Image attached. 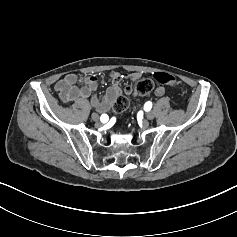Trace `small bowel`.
Returning a JSON list of instances; mask_svg holds the SVG:
<instances>
[{
    "mask_svg": "<svg viewBox=\"0 0 237 237\" xmlns=\"http://www.w3.org/2000/svg\"><path fill=\"white\" fill-rule=\"evenodd\" d=\"M140 76V73L122 75L118 72H112L110 74L112 85L106 90L103 98L97 95L99 80L96 76L85 77L82 85L78 86L77 76L75 74H67L55 84V90L64 104L82 103L89 99V104L95 108L97 113L103 115L111 109L115 99L120 95L121 81L124 78L135 81ZM155 94L157 96L164 95L165 87L162 84L158 85L155 89Z\"/></svg>",
    "mask_w": 237,
    "mask_h": 237,
    "instance_id": "obj_1",
    "label": "small bowel"
}]
</instances>
